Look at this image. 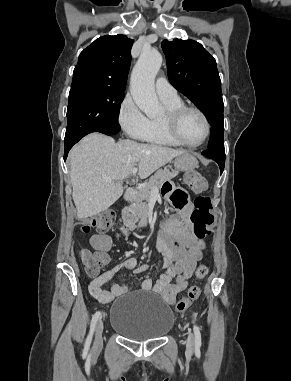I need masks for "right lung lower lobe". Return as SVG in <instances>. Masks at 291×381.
I'll list each match as a JSON object with an SVG mask.
<instances>
[{
  "label": "right lung lower lobe",
  "mask_w": 291,
  "mask_h": 381,
  "mask_svg": "<svg viewBox=\"0 0 291 381\" xmlns=\"http://www.w3.org/2000/svg\"><path fill=\"white\" fill-rule=\"evenodd\" d=\"M120 131V126H112V127H107V128H103V129H99V130H96L94 132H100V133H103V134H106V135H114L116 133H118ZM89 134V133H88ZM87 135V134H86ZM85 136V135H84ZM82 136V137H84ZM81 137V138H82ZM80 138V139H81ZM79 139V140H80ZM78 140V141H79ZM78 141H74V142H65V151H64V160H66L67 158V155H68V152L69 150L72 148V146L77 143Z\"/></svg>",
  "instance_id": "obj_1"
}]
</instances>
